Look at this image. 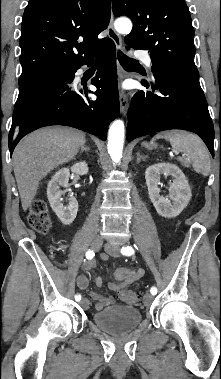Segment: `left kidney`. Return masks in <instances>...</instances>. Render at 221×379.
I'll return each instance as SVG.
<instances>
[{"label": "left kidney", "mask_w": 221, "mask_h": 379, "mask_svg": "<svg viewBox=\"0 0 221 379\" xmlns=\"http://www.w3.org/2000/svg\"><path fill=\"white\" fill-rule=\"evenodd\" d=\"M171 175L174 179L170 186L169 199L160 196V175ZM149 198L157 213L165 218L178 216L188 205L192 193L188 181L180 168L169 163L149 166L145 172Z\"/></svg>", "instance_id": "left-kidney-1"}]
</instances>
